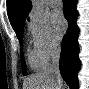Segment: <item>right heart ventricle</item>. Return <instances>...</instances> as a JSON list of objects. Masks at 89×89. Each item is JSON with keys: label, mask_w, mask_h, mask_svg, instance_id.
<instances>
[{"label": "right heart ventricle", "mask_w": 89, "mask_h": 89, "mask_svg": "<svg viewBox=\"0 0 89 89\" xmlns=\"http://www.w3.org/2000/svg\"><path fill=\"white\" fill-rule=\"evenodd\" d=\"M28 60L31 67L35 70H43L47 66V63L38 56L34 49L28 50Z\"/></svg>", "instance_id": "right-heart-ventricle-1"}]
</instances>
